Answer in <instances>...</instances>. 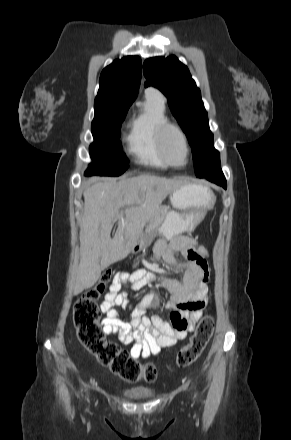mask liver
<instances>
[{"instance_id":"liver-1","label":"liver","mask_w":291,"mask_h":440,"mask_svg":"<svg viewBox=\"0 0 291 440\" xmlns=\"http://www.w3.org/2000/svg\"><path fill=\"white\" fill-rule=\"evenodd\" d=\"M183 183L143 174L118 182H98L84 191L75 294L92 287L104 269L128 256L163 200ZM122 207L126 208L124 216L120 212ZM116 221L118 228L111 239Z\"/></svg>"}]
</instances>
